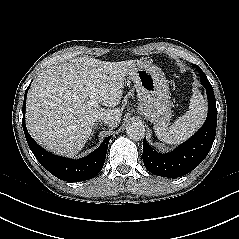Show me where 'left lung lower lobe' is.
Returning <instances> with one entry per match:
<instances>
[{"label": "left lung lower lobe", "instance_id": "1", "mask_svg": "<svg viewBox=\"0 0 239 239\" xmlns=\"http://www.w3.org/2000/svg\"><path fill=\"white\" fill-rule=\"evenodd\" d=\"M208 98V115L203 126L189 140L170 153L159 154L143 140V162L147 170L163 177H181L195 169L209 153L216 134L217 109L212 85L201 80Z\"/></svg>", "mask_w": 239, "mask_h": 239}]
</instances>
